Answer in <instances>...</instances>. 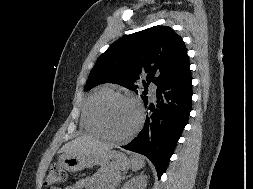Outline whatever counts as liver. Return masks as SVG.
<instances>
[{
    "label": "liver",
    "instance_id": "6515ba94",
    "mask_svg": "<svg viewBox=\"0 0 253 189\" xmlns=\"http://www.w3.org/2000/svg\"><path fill=\"white\" fill-rule=\"evenodd\" d=\"M108 150H111L109 145L104 144L91 136L84 135L66 143L59 150V153L100 155Z\"/></svg>",
    "mask_w": 253,
    "mask_h": 189
}]
</instances>
